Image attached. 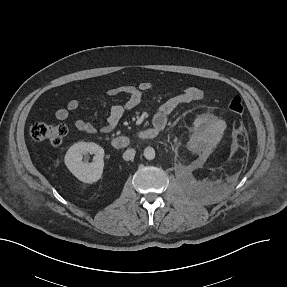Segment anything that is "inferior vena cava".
Returning a JSON list of instances; mask_svg holds the SVG:
<instances>
[{"label":"inferior vena cava","instance_id":"inferior-vena-cava-1","mask_svg":"<svg viewBox=\"0 0 287 287\" xmlns=\"http://www.w3.org/2000/svg\"><path fill=\"white\" fill-rule=\"evenodd\" d=\"M135 154L136 151L133 148H128L123 154V159L126 161L133 160Z\"/></svg>","mask_w":287,"mask_h":287}]
</instances>
